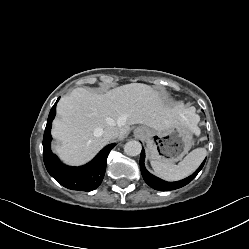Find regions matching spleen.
<instances>
[{
	"label": "spleen",
	"mask_w": 249,
	"mask_h": 249,
	"mask_svg": "<svg viewBox=\"0 0 249 249\" xmlns=\"http://www.w3.org/2000/svg\"><path fill=\"white\" fill-rule=\"evenodd\" d=\"M207 155L205 148L191 151L182 161L176 164L151 161V166L157 176L167 181H177L193 173Z\"/></svg>",
	"instance_id": "spleen-1"
}]
</instances>
